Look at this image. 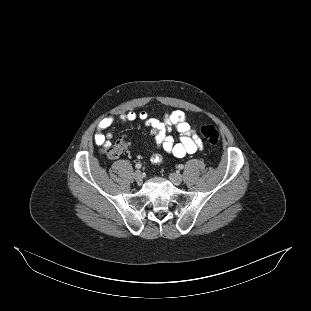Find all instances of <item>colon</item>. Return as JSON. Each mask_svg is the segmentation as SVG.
<instances>
[{"label": "colon", "mask_w": 311, "mask_h": 311, "mask_svg": "<svg viewBox=\"0 0 311 311\" xmlns=\"http://www.w3.org/2000/svg\"><path fill=\"white\" fill-rule=\"evenodd\" d=\"M201 135L207 140L211 146H217L220 140L219 131L212 125H203L200 127ZM129 141L122 136L116 140L112 145L104 149V153L108 158H117L122 155L128 148Z\"/></svg>", "instance_id": "colon-1"}]
</instances>
